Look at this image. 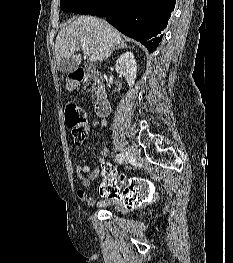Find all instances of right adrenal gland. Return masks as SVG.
I'll return each mask as SVG.
<instances>
[{"label": "right adrenal gland", "mask_w": 233, "mask_h": 263, "mask_svg": "<svg viewBox=\"0 0 233 263\" xmlns=\"http://www.w3.org/2000/svg\"><path fill=\"white\" fill-rule=\"evenodd\" d=\"M119 48H127V45L125 44L124 41H122L119 45L113 47V48L106 54L105 60H107L108 57L111 56V54L113 53V51H115V50H117V49H119Z\"/></svg>", "instance_id": "obj_1"}]
</instances>
